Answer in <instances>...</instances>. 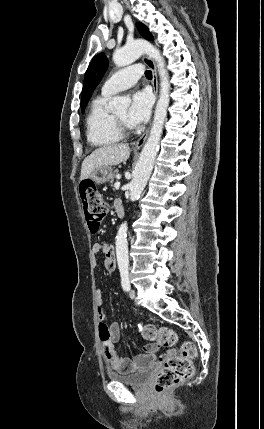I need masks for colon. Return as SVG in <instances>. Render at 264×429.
Returning <instances> with one entry per match:
<instances>
[{
  "label": "colon",
  "instance_id": "colon-1",
  "mask_svg": "<svg viewBox=\"0 0 264 429\" xmlns=\"http://www.w3.org/2000/svg\"><path fill=\"white\" fill-rule=\"evenodd\" d=\"M79 191L88 226L92 232H96L106 216L108 205L91 181L81 182ZM140 332L143 338L157 346L173 347L179 341L177 333L167 327L144 324L140 326ZM195 356L196 348L188 341L181 343L178 353L169 354L154 382L156 394H164L189 378L193 372L192 359Z\"/></svg>",
  "mask_w": 264,
  "mask_h": 429
}]
</instances>
